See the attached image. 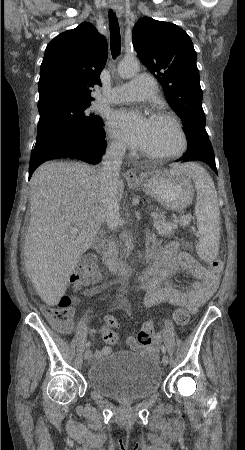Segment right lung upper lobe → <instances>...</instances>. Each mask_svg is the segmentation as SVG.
<instances>
[{
    "label": "right lung upper lobe",
    "instance_id": "obj_1",
    "mask_svg": "<svg viewBox=\"0 0 245 450\" xmlns=\"http://www.w3.org/2000/svg\"><path fill=\"white\" fill-rule=\"evenodd\" d=\"M107 41L88 23L55 37L46 47L40 68L38 109L67 103L91 105L90 92L100 84Z\"/></svg>",
    "mask_w": 245,
    "mask_h": 450
}]
</instances>
